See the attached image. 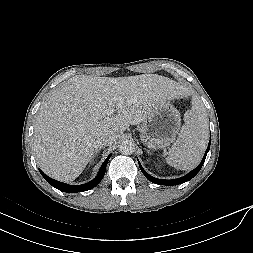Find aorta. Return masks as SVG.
<instances>
[{"instance_id": "obj_1", "label": "aorta", "mask_w": 253, "mask_h": 253, "mask_svg": "<svg viewBox=\"0 0 253 253\" xmlns=\"http://www.w3.org/2000/svg\"><path fill=\"white\" fill-rule=\"evenodd\" d=\"M118 148L121 154L130 155L135 150V144L133 141L125 139L119 143Z\"/></svg>"}]
</instances>
